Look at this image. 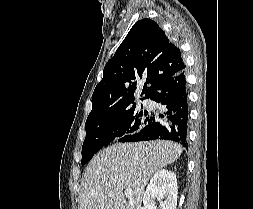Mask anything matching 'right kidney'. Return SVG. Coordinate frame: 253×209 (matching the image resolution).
I'll use <instances>...</instances> for the list:
<instances>
[{
    "label": "right kidney",
    "instance_id": "right-kidney-1",
    "mask_svg": "<svg viewBox=\"0 0 253 209\" xmlns=\"http://www.w3.org/2000/svg\"><path fill=\"white\" fill-rule=\"evenodd\" d=\"M177 194L176 175L169 170H159L150 180L144 193L143 209H157L155 199L158 197L164 199V201H160V209H176Z\"/></svg>",
    "mask_w": 253,
    "mask_h": 209
}]
</instances>
